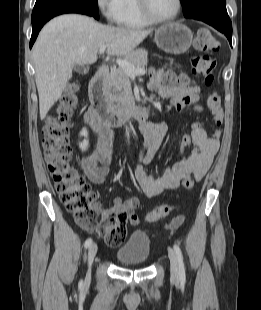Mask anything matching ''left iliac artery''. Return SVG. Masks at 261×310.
I'll list each match as a JSON object with an SVG mask.
<instances>
[{
    "label": "left iliac artery",
    "mask_w": 261,
    "mask_h": 310,
    "mask_svg": "<svg viewBox=\"0 0 261 310\" xmlns=\"http://www.w3.org/2000/svg\"><path fill=\"white\" fill-rule=\"evenodd\" d=\"M173 247H174V251L176 253L177 260H178L180 281L184 283L185 282V267H184L182 251L177 244H174Z\"/></svg>",
    "instance_id": "1"
}]
</instances>
